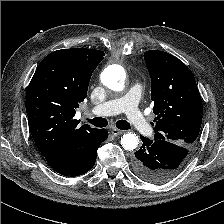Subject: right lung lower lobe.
<instances>
[{"mask_svg":"<svg viewBox=\"0 0 224 224\" xmlns=\"http://www.w3.org/2000/svg\"><path fill=\"white\" fill-rule=\"evenodd\" d=\"M108 137V132L105 129H99L94 138L85 144L77 153L75 158L56 172L66 176H79L88 172L95 164L97 157V149L100 144Z\"/></svg>","mask_w":224,"mask_h":224,"instance_id":"98d812e1","label":"right lung lower lobe"}]
</instances>
